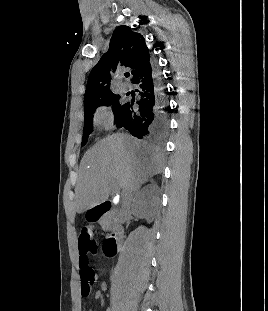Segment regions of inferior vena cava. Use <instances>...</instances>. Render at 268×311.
Instances as JSON below:
<instances>
[{"instance_id":"obj_1","label":"inferior vena cava","mask_w":268,"mask_h":311,"mask_svg":"<svg viewBox=\"0 0 268 311\" xmlns=\"http://www.w3.org/2000/svg\"><path fill=\"white\" fill-rule=\"evenodd\" d=\"M131 191H127L126 193H123V204L122 209L120 211V215H124L128 212L131 202Z\"/></svg>"}]
</instances>
